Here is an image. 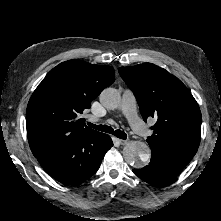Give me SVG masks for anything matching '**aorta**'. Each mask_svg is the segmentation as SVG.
<instances>
[{"instance_id": "762f6f07", "label": "aorta", "mask_w": 221, "mask_h": 221, "mask_svg": "<svg viewBox=\"0 0 221 221\" xmlns=\"http://www.w3.org/2000/svg\"><path fill=\"white\" fill-rule=\"evenodd\" d=\"M99 99L105 108L113 110L119 107L121 95L114 88H106L101 92ZM122 154L128 164L142 167L150 158V148L144 142H129L123 148Z\"/></svg>"}]
</instances>
